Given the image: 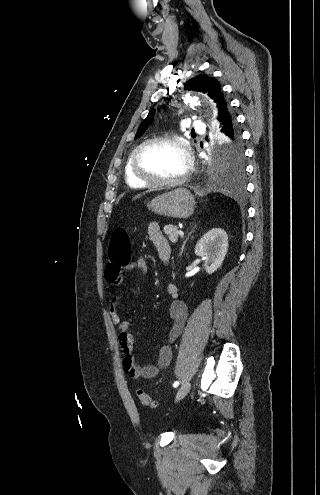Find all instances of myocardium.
Instances as JSON below:
<instances>
[{
  "label": "myocardium",
  "instance_id": "myocardium-1",
  "mask_svg": "<svg viewBox=\"0 0 320 495\" xmlns=\"http://www.w3.org/2000/svg\"><path fill=\"white\" fill-rule=\"evenodd\" d=\"M160 142H167V143H172L176 146H178L184 156H185V161H186V167L183 173L175 178V179H159V178H154L146 173H144L139 166V157L141 152L149 145L155 144V143H160ZM192 170V155L190 151V147L188 143L176 136H171V135H161V136H156L150 139H147L143 141L139 146L136 147V149L133 151L132 156H131V171L133 175L140 181L152 185V186H177L182 184L190 175V172Z\"/></svg>",
  "mask_w": 320,
  "mask_h": 495
}]
</instances>
